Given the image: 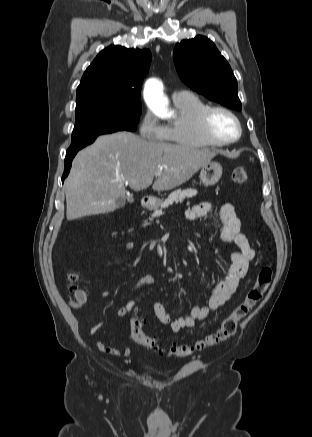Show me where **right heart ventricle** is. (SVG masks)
Returning a JSON list of instances; mask_svg holds the SVG:
<instances>
[{
  "mask_svg": "<svg viewBox=\"0 0 312 437\" xmlns=\"http://www.w3.org/2000/svg\"><path fill=\"white\" fill-rule=\"evenodd\" d=\"M173 102L177 115L175 119L164 126V141L187 148L211 146L212 144L200 135L197 127L198 115L208 105L199 97L187 92L182 98Z\"/></svg>",
  "mask_w": 312,
  "mask_h": 437,
  "instance_id": "1",
  "label": "right heart ventricle"
}]
</instances>
